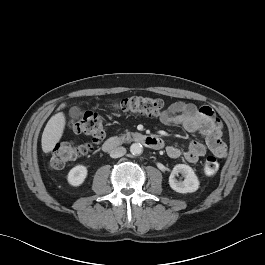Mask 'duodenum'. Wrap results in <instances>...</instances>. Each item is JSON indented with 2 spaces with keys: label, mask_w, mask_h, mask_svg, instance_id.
I'll return each instance as SVG.
<instances>
[{
  "label": "duodenum",
  "mask_w": 265,
  "mask_h": 265,
  "mask_svg": "<svg viewBox=\"0 0 265 265\" xmlns=\"http://www.w3.org/2000/svg\"><path fill=\"white\" fill-rule=\"evenodd\" d=\"M133 142L140 143L144 146H146L149 149H161L164 145L163 141L156 137V136H148V135H135L131 139ZM125 142L124 139L117 137V136H112L106 139L103 143V150L104 151H112L116 147L120 146Z\"/></svg>",
  "instance_id": "1"
}]
</instances>
